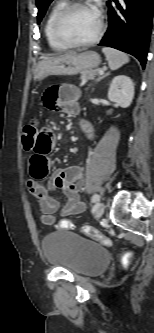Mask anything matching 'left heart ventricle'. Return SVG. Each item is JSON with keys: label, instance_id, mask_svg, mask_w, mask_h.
<instances>
[{"label": "left heart ventricle", "instance_id": "b2bd125f", "mask_svg": "<svg viewBox=\"0 0 154 333\" xmlns=\"http://www.w3.org/2000/svg\"><path fill=\"white\" fill-rule=\"evenodd\" d=\"M98 22V14L93 7H78L67 15L62 30L73 41H85L95 35Z\"/></svg>", "mask_w": 154, "mask_h": 333}]
</instances>
